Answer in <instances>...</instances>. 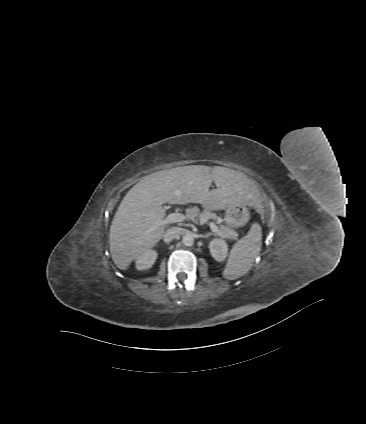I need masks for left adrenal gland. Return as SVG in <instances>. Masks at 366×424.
Listing matches in <instances>:
<instances>
[{"mask_svg":"<svg viewBox=\"0 0 366 424\" xmlns=\"http://www.w3.org/2000/svg\"><path fill=\"white\" fill-rule=\"evenodd\" d=\"M210 236H216L215 233H207L206 235H204V238H209Z\"/></svg>","mask_w":366,"mask_h":424,"instance_id":"a2214340","label":"left adrenal gland"}]
</instances>
